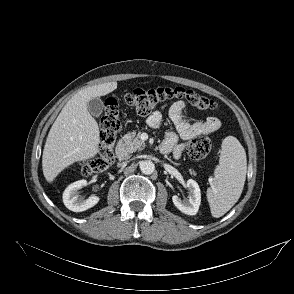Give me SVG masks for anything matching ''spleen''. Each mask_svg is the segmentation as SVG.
<instances>
[{
    "mask_svg": "<svg viewBox=\"0 0 294 294\" xmlns=\"http://www.w3.org/2000/svg\"><path fill=\"white\" fill-rule=\"evenodd\" d=\"M246 152L233 136L222 142L219 165L214 172L213 184L207 191V199L213 217L219 218L238 201L246 179Z\"/></svg>",
    "mask_w": 294,
    "mask_h": 294,
    "instance_id": "3e777b00",
    "label": "spleen"
}]
</instances>
